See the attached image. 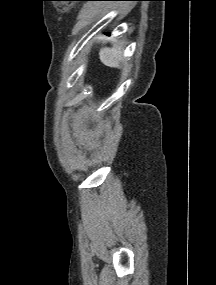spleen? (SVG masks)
I'll use <instances>...</instances> for the list:
<instances>
[{
  "mask_svg": "<svg viewBox=\"0 0 216 285\" xmlns=\"http://www.w3.org/2000/svg\"><path fill=\"white\" fill-rule=\"evenodd\" d=\"M122 48L112 47V48H102L99 52V58L101 62L111 68H118L121 62Z\"/></svg>",
  "mask_w": 216,
  "mask_h": 285,
  "instance_id": "3e777b00",
  "label": "spleen"
}]
</instances>
